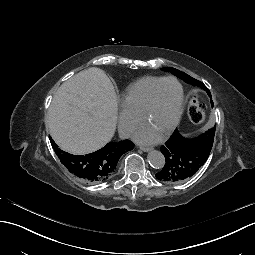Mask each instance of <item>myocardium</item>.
<instances>
[{
	"instance_id": "1",
	"label": "myocardium",
	"mask_w": 255,
	"mask_h": 255,
	"mask_svg": "<svg viewBox=\"0 0 255 255\" xmlns=\"http://www.w3.org/2000/svg\"><path fill=\"white\" fill-rule=\"evenodd\" d=\"M167 82H174L178 85L179 87V105H178V109H177V113L176 116L173 120V122L171 123V125L168 127V129L166 130L165 134L162 136V139H167L173 132L174 130L177 128V126L180 123L182 114H183V110H184V105H185V95H184V89L182 84L173 77H167L164 78L163 80H161L152 90L149 100L140 116V124H142L144 122V120L150 115L151 111L154 108L155 105V100H156V96L157 93L159 91V89L161 88V86Z\"/></svg>"
}]
</instances>
